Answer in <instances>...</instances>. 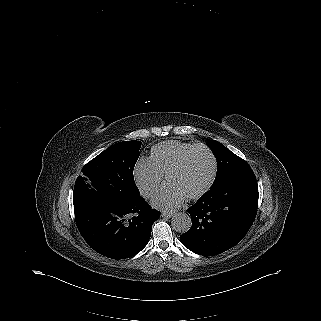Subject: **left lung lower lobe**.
<instances>
[{"label":"left lung lower lobe","instance_id":"0a47b994","mask_svg":"<svg viewBox=\"0 0 321 321\" xmlns=\"http://www.w3.org/2000/svg\"><path fill=\"white\" fill-rule=\"evenodd\" d=\"M258 185L252 169L235 172L189 207L192 226L180 236L194 253L213 256L239 243L257 213Z\"/></svg>","mask_w":321,"mask_h":321}]
</instances>
